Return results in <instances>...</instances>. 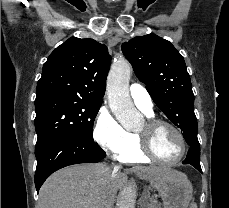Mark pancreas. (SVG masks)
Here are the masks:
<instances>
[{
  "label": "pancreas",
  "instance_id": "cf45deb5",
  "mask_svg": "<svg viewBox=\"0 0 229 208\" xmlns=\"http://www.w3.org/2000/svg\"><path fill=\"white\" fill-rule=\"evenodd\" d=\"M144 208H161V204L154 198H147Z\"/></svg>",
  "mask_w": 229,
  "mask_h": 208
}]
</instances>
